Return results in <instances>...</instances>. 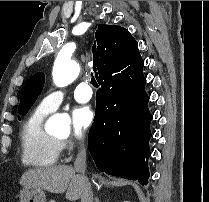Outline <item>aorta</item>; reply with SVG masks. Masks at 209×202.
I'll return each instance as SVG.
<instances>
[{"mask_svg":"<svg viewBox=\"0 0 209 202\" xmlns=\"http://www.w3.org/2000/svg\"><path fill=\"white\" fill-rule=\"evenodd\" d=\"M79 72V65L74 60L63 54H58L52 70L53 82L57 87L67 86L78 77ZM45 130L47 132L69 133V116L67 114H54L47 120Z\"/></svg>","mask_w":209,"mask_h":202,"instance_id":"762f6f07","label":"aorta"}]
</instances>
